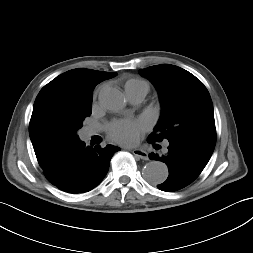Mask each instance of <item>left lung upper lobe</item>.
Segmentation results:
<instances>
[{
	"instance_id": "5c2ea615",
	"label": "left lung upper lobe",
	"mask_w": 253,
	"mask_h": 253,
	"mask_svg": "<svg viewBox=\"0 0 253 253\" xmlns=\"http://www.w3.org/2000/svg\"><path fill=\"white\" fill-rule=\"evenodd\" d=\"M159 93L162 113L151 142L185 139L215 146L213 104L203 83L190 72L169 64L142 69Z\"/></svg>"
}]
</instances>
